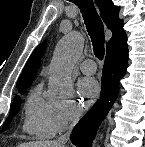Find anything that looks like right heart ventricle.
<instances>
[{"label":"right heart ventricle","instance_id":"e07e8e85","mask_svg":"<svg viewBox=\"0 0 145 147\" xmlns=\"http://www.w3.org/2000/svg\"><path fill=\"white\" fill-rule=\"evenodd\" d=\"M56 107L42 95L41 85H36L28 94L23 110V131L28 135L46 139L54 132L53 118Z\"/></svg>","mask_w":145,"mask_h":147}]
</instances>
